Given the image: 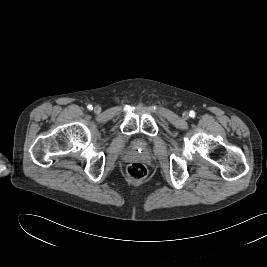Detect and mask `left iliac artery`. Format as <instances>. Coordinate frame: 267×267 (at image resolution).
Wrapping results in <instances>:
<instances>
[{"mask_svg": "<svg viewBox=\"0 0 267 267\" xmlns=\"http://www.w3.org/2000/svg\"><path fill=\"white\" fill-rule=\"evenodd\" d=\"M195 115H196V113H195L193 110H191V111L189 112V116H190V117L194 118Z\"/></svg>", "mask_w": 267, "mask_h": 267, "instance_id": "left-iliac-artery-1", "label": "left iliac artery"}]
</instances>
